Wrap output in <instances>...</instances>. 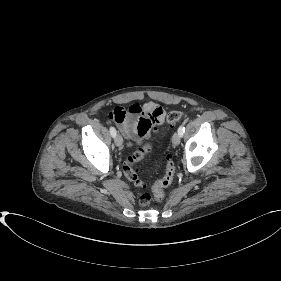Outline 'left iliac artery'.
<instances>
[{"label": "left iliac artery", "instance_id": "obj_1", "mask_svg": "<svg viewBox=\"0 0 281 281\" xmlns=\"http://www.w3.org/2000/svg\"><path fill=\"white\" fill-rule=\"evenodd\" d=\"M184 131H185V127H184L183 125H181V126L178 128V133L180 134V136L183 135Z\"/></svg>", "mask_w": 281, "mask_h": 281}]
</instances>
